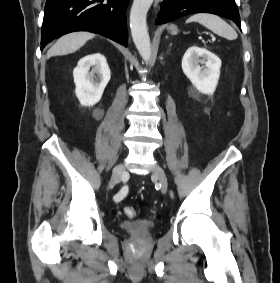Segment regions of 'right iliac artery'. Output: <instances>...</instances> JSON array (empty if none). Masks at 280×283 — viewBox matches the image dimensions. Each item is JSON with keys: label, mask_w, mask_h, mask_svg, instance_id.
<instances>
[{"label": "right iliac artery", "mask_w": 280, "mask_h": 283, "mask_svg": "<svg viewBox=\"0 0 280 283\" xmlns=\"http://www.w3.org/2000/svg\"><path fill=\"white\" fill-rule=\"evenodd\" d=\"M125 197V190L120 191L118 194L114 196L115 201H121Z\"/></svg>", "instance_id": "right-iliac-artery-1"}]
</instances>
